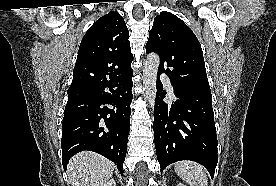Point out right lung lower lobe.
<instances>
[{"instance_id": "98d812e1", "label": "right lung lower lobe", "mask_w": 276, "mask_h": 186, "mask_svg": "<svg viewBox=\"0 0 276 186\" xmlns=\"http://www.w3.org/2000/svg\"><path fill=\"white\" fill-rule=\"evenodd\" d=\"M132 72L123 79L79 94L68 100L62 123V164L83 150L99 153L114 162L121 175L130 131L133 98ZM109 88V91L107 90ZM111 104L109 109L102 104Z\"/></svg>"}]
</instances>
